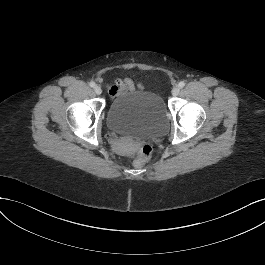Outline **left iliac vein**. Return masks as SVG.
<instances>
[{
  "instance_id": "1",
  "label": "left iliac vein",
  "mask_w": 265,
  "mask_h": 265,
  "mask_svg": "<svg viewBox=\"0 0 265 265\" xmlns=\"http://www.w3.org/2000/svg\"><path fill=\"white\" fill-rule=\"evenodd\" d=\"M179 92H180V88L177 86L172 89V95L173 96H177L179 94Z\"/></svg>"
}]
</instances>
